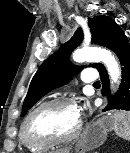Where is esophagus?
I'll list each match as a JSON object with an SVG mask.
<instances>
[{"label":"esophagus","mask_w":130,"mask_h":153,"mask_svg":"<svg viewBox=\"0 0 130 153\" xmlns=\"http://www.w3.org/2000/svg\"><path fill=\"white\" fill-rule=\"evenodd\" d=\"M103 109V106L100 108V110H102Z\"/></svg>","instance_id":"obj_1"}]
</instances>
